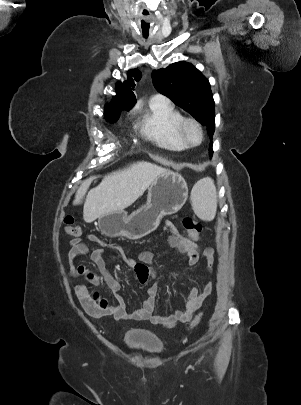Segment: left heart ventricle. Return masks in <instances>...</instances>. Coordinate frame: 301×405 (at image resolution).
<instances>
[{
	"instance_id": "1",
	"label": "left heart ventricle",
	"mask_w": 301,
	"mask_h": 405,
	"mask_svg": "<svg viewBox=\"0 0 301 405\" xmlns=\"http://www.w3.org/2000/svg\"><path fill=\"white\" fill-rule=\"evenodd\" d=\"M186 133L188 138L192 141V142H198L200 139V135L198 130L194 127V126H188L186 129Z\"/></svg>"
}]
</instances>
